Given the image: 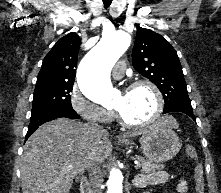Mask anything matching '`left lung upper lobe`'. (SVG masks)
I'll list each match as a JSON object with an SVG mask.
<instances>
[{
  "label": "left lung upper lobe",
  "mask_w": 221,
  "mask_h": 193,
  "mask_svg": "<svg viewBox=\"0 0 221 193\" xmlns=\"http://www.w3.org/2000/svg\"><path fill=\"white\" fill-rule=\"evenodd\" d=\"M134 69L152 81L164 97V109L191 104L175 49L160 34L139 27L132 51Z\"/></svg>",
  "instance_id": "obj_1"
}]
</instances>
